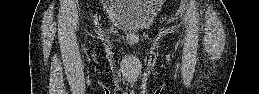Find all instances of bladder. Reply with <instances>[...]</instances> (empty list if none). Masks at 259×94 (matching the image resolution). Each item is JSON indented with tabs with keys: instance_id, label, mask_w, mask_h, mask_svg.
<instances>
[{
	"instance_id": "1",
	"label": "bladder",
	"mask_w": 259,
	"mask_h": 94,
	"mask_svg": "<svg viewBox=\"0 0 259 94\" xmlns=\"http://www.w3.org/2000/svg\"><path fill=\"white\" fill-rule=\"evenodd\" d=\"M159 8L153 1H110L107 17L110 26L124 34H139L149 30Z\"/></svg>"
}]
</instances>
